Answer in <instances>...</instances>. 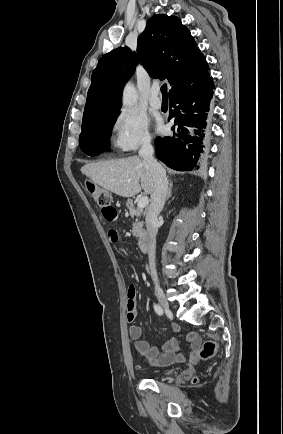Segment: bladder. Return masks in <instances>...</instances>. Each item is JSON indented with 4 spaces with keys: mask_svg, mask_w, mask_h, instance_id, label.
I'll use <instances>...</instances> for the list:
<instances>
[{
    "mask_svg": "<svg viewBox=\"0 0 283 434\" xmlns=\"http://www.w3.org/2000/svg\"><path fill=\"white\" fill-rule=\"evenodd\" d=\"M173 372H174V370H173V369H170V370L164 371V372H162V373H157V372H156V374H170V373H173Z\"/></svg>",
    "mask_w": 283,
    "mask_h": 434,
    "instance_id": "1",
    "label": "bladder"
}]
</instances>
